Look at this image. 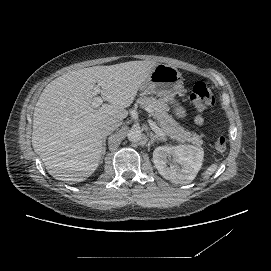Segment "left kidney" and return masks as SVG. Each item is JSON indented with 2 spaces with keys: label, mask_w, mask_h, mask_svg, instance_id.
I'll return each instance as SVG.
<instances>
[{
  "label": "left kidney",
  "mask_w": 271,
  "mask_h": 271,
  "mask_svg": "<svg viewBox=\"0 0 271 271\" xmlns=\"http://www.w3.org/2000/svg\"><path fill=\"white\" fill-rule=\"evenodd\" d=\"M203 157V148L199 146H160L153 152V163L165 179L187 184L194 180L201 169Z\"/></svg>",
  "instance_id": "left-kidney-1"
}]
</instances>
